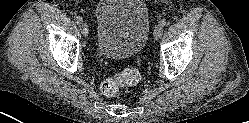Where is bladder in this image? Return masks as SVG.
<instances>
[{"instance_id":"bladder-1","label":"bladder","mask_w":249,"mask_h":123,"mask_svg":"<svg viewBox=\"0 0 249 123\" xmlns=\"http://www.w3.org/2000/svg\"><path fill=\"white\" fill-rule=\"evenodd\" d=\"M95 18L99 54L121 59L141 52L150 30L149 13L143 0H101Z\"/></svg>"}]
</instances>
